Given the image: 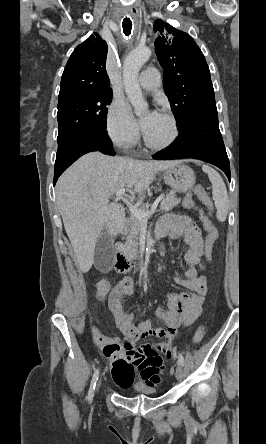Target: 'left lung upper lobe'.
<instances>
[{"label": "left lung upper lobe", "mask_w": 266, "mask_h": 444, "mask_svg": "<svg viewBox=\"0 0 266 444\" xmlns=\"http://www.w3.org/2000/svg\"><path fill=\"white\" fill-rule=\"evenodd\" d=\"M155 52L164 70V90L179 126L195 113L216 109L214 89L205 57L192 37L156 20Z\"/></svg>", "instance_id": "1"}]
</instances>
